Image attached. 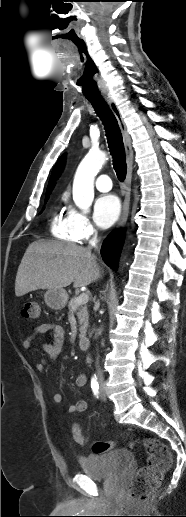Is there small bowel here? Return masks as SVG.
I'll use <instances>...</instances> for the list:
<instances>
[{
	"mask_svg": "<svg viewBox=\"0 0 186 517\" xmlns=\"http://www.w3.org/2000/svg\"><path fill=\"white\" fill-rule=\"evenodd\" d=\"M46 333L50 334L51 340L46 342L43 345V349L48 356V361L54 362L56 360V358L66 349V346L64 344L65 331L59 325H55V324H51V323L40 324L25 338V340L23 341V347L26 349L30 348L35 339H37L39 336L46 334ZM46 365H47V360L41 359L37 363V368L39 370H42L46 367ZM86 383H87V376L85 374H80L75 379V386L78 388L84 387L86 385ZM53 401L55 403H60L62 401V395L60 393H55L53 395ZM87 408H88L87 401L79 400L75 404L70 405L66 409V413L74 414L77 412H84L87 410ZM86 441H87V438L85 437V441L80 444H84V443H86Z\"/></svg>",
	"mask_w": 186,
	"mask_h": 517,
	"instance_id": "obj_1",
	"label": "small bowel"
}]
</instances>
